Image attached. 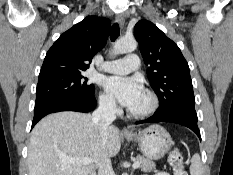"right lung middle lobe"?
I'll list each match as a JSON object with an SVG mask.
<instances>
[{
  "label": "right lung middle lobe",
  "mask_w": 233,
  "mask_h": 175,
  "mask_svg": "<svg viewBox=\"0 0 233 175\" xmlns=\"http://www.w3.org/2000/svg\"><path fill=\"white\" fill-rule=\"evenodd\" d=\"M87 81L83 72L40 77L35 104L52 99H91L94 97V85L87 84Z\"/></svg>",
  "instance_id": "dd1d6c3e"
}]
</instances>
